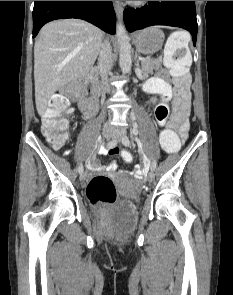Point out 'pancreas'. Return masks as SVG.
Wrapping results in <instances>:
<instances>
[{
  "instance_id": "obj_1",
  "label": "pancreas",
  "mask_w": 233,
  "mask_h": 295,
  "mask_svg": "<svg viewBox=\"0 0 233 295\" xmlns=\"http://www.w3.org/2000/svg\"><path fill=\"white\" fill-rule=\"evenodd\" d=\"M162 63L161 59L157 60H146L141 63L142 78H148L150 74L153 73V70L160 68Z\"/></svg>"
}]
</instances>
